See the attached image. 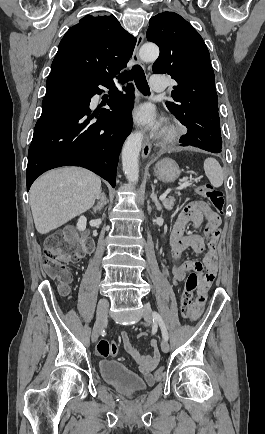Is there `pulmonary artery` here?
I'll return each mask as SVG.
<instances>
[{
	"label": "pulmonary artery",
	"instance_id": "e3ab8cb5",
	"mask_svg": "<svg viewBox=\"0 0 265 434\" xmlns=\"http://www.w3.org/2000/svg\"><path fill=\"white\" fill-rule=\"evenodd\" d=\"M150 84H164L165 76L164 75H150L149 77Z\"/></svg>",
	"mask_w": 265,
	"mask_h": 434
}]
</instances>
